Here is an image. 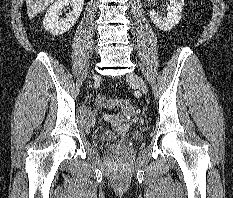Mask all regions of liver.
Masks as SVG:
<instances>
[{
  "mask_svg": "<svg viewBox=\"0 0 233 198\" xmlns=\"http://www.w3.org/2000/svg\"><path fill=\"white\" fill-rule=\"evenodd\" d=\"M53 2L54 0H26L28 17L33 19Z\"/></svg>",
  "mask_w": 233,
  "mask_h": 198,
  "instance_id": "1",
  "label": "liver"
}]
</instances>
